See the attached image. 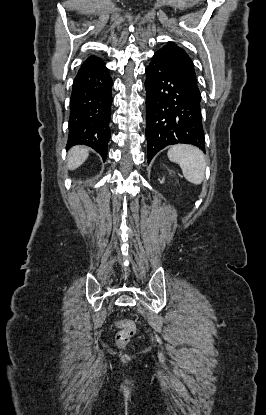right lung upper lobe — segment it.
Instances as JSON below:
<instances>
[{"mask_svg": "<svg viewBox=\"0 0 266 415\" xmlns=\"http://www.w3.org/2000/svg\"><path fill=\"white\" fill-rule=\"evenodd\" d=\"M102 65H104V62L100 58H96L95 56H90L82 64L81 68L78 71V74L87 72L89 70H92Z\"/></svg>", "mask_w": 266, "mask_h": 415, "instance_id": "cb5924a9", "label": "right lung upper lobe"}]
</instances>
